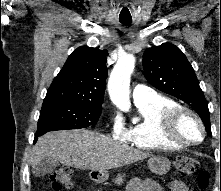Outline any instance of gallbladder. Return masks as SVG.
<instances>
[{
    "instance_id": "1",
    "label": "gallbladder",
    "mask_w": 221,
    "mask_h": 191,
    "mask_svg": "<svg viewBox=\"0 0 221 191\" xmlns=\"http://www.w3.org/2000/svg\"><path fill=\"white\" fill-rule=\"evenodd\" d=\"M58 165V161L52 158H45L33 168V174L36 177H42L53 172L58 167Z\"/></svg>"
}]
</instances>
